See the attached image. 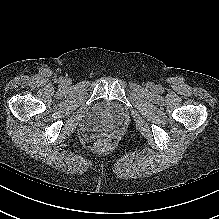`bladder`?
Listing matches in <instances>:
<instances>
[{
	"label": "bladder",
	"instance_id": "bladder-1",
	"mask_svg": "<svg viewBox=\"0 0 219 219\" xmlns=\"http://www.w3.org/2000/svg\"><path fill=\"white\" fill-rule=\"evenodd\" d=\"M124 115V108L118 103L101 102L87 114L86 124L92 130H102L121 122Z\"/></svg>",
	"mask_w": 219,
	"mask_h": 219
}]
</instances>
